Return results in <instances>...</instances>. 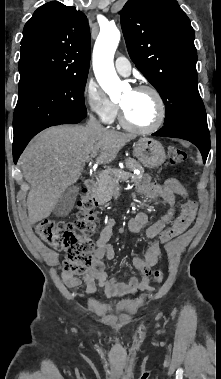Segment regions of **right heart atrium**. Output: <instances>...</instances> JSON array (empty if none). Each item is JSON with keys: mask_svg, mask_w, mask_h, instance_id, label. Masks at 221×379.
Returning <instances> with one entry per match:
<instances>
[{"mask_svg": "<svg viewBox=\"0 0 221 379\" xmlns=\"http://www.w3.org/2000/svg\"><path fill=\"white\" fill-rule=\"evenodd\" d=\"M83 97L89 113L97 117L101 122L110 123L114 120L118 107L96 82L93 80L86 82Z\"/></svg>", "mask_w": 221, "mask_h": 379, "instance_id": "d8ad5b80", "label": "right heart atrium"}]
</instances>
